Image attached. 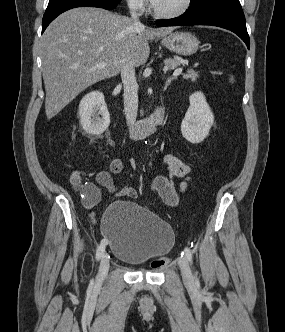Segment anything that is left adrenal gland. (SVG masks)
Returning a JSON list of instances; mask_svg holds the SVG:
<instances>
[{"label": "left adrenal gland", "instance_id": "left-adrenal-gland-1", "mask_svg": "<svg viewBox=\"0 0 285 332\" xmlns=\"http://www.w3.org/2000/svg\"><path fill=\"white\" fill-rule=\"evenodd\" d=\"M175 79H176V77H168L164 89L166 90L169 87V85L171 84V82Z\"/></svg>", "mask_w": 285, "mask_h": 332}]
</instances>
